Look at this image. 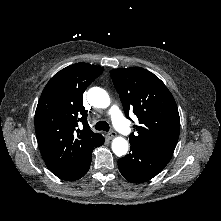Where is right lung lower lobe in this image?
<instances>
[{"instance_id": "98d812e1", "label": "right lung lower lobe", "mask_w": 221, "mask_h": 221, "mask_svg": "<svg viewBox=\"0 0 221 221\" xmlns=\"http://www.w3.org/2000/svg\"><path fill=\"white\" fill-rule=\"evenodd\" d=\"M104 137L101 136L100 141L95 147L104 144ZM94 149V148H93ZM92 150L68 163L58 171L52 172L58 178L66 181H74L83 177L89 170L91 164Z\"/></svg>"}]
</instances>
